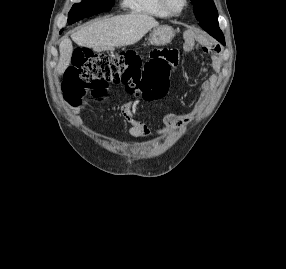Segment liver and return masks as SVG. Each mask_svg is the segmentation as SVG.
I'll use <instances>...</instances> for the list:
<instances>
[{
  "instance_id": "obj_1",
  "label": "liver",
  "mask_w": 286,
  "mask_h": 269,
  "mask_svg": "<svg viewBox=\"0 0 286 269\" xmlns=\"http://www.w3.org/2000/svg\"><path fill=\"white\" fill-rule=\"evenodd\" d=\"M159 23L151 16L141 13H131L103 20H96L76 32L72 33V40L95 51H103L131 45L138 42L152 28ZM60 58L57 72L62 75L69 67L73 53L72 42L64 38L59 46Z\"/></svg>"
}]
</instances>
